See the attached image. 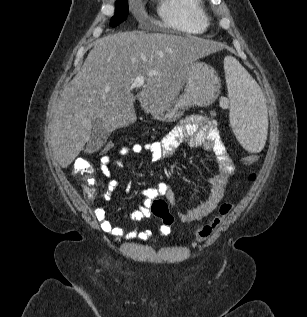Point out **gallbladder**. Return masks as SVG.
<instances>
[{
    "label": "gallbladder",
    "mask_w": 307,
    "mask_h": 317,
    "mask_svg": "<svg viewBox=\"0 0 307 317\" xmlns=\"http://www.w3.org/2000/svg\"><path fill=\"white\" fill-rule=\"evenodd\" d=\"M106 141V130L101 118L92 122V135L88 141L85 151L89 154L99 150Z\"/></svg>",
    "instance_id": "gallbladder-1"
}]
</instances>
